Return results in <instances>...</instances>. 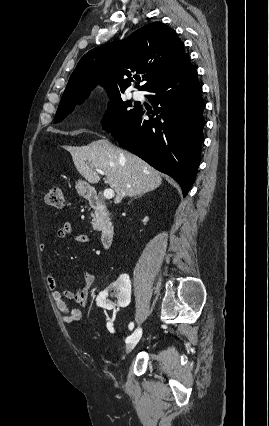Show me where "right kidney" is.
Returning a JSON list of instances; mask_svg holds the SVG:
<instances>
[{
	"label": "right kidney",
	"mask_w": 269,
	"mask_h": 426,
	"mask_svg": "<svg viewBox=\"0 0 269 426\" xmlns=\"http://www.w3.org/2000/svg\"><path fill=\"white\" fill-rule=\"evenodd\" d=\"M143 220L144 228H147L148 221L144 216ZM128 280L126 273L119 275V280L113 284V286H105L103 292L97 298V305L101 306L102 311H111L113 308L115 311H125L130 305L131 300V283ZM117 290V298L114 300V304L107 299V295H113Z\"/></svg>",
	"instance_id": "obj_1"
}]
</instances>
